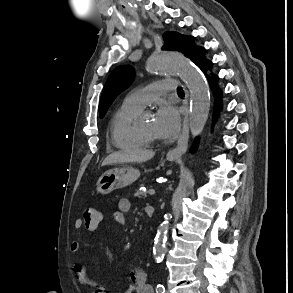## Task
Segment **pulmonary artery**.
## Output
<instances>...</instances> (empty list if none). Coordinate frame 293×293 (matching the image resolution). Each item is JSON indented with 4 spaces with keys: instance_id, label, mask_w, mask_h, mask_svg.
I'll return each instance as SVG.
<instances>
[{
    "instance_id": "e3ab8cb5",
    "label": "pulmonary artery",
    "mask_w": 293,
    "mask_h": 293,
    "mask_svg": "<svg viewBox=\"0 0 293 293\" xmlns=\"http://www.w3.org/2000/svg\"><path fill=\"white\" fill-rule=\"evenodd\" d=\"M179 82L176 79L156 81L144 88L131 91L124 99L123 104L139 110L145 108L154 98L168 92L175 91Z\"/></svg>"
}]
</instances>
